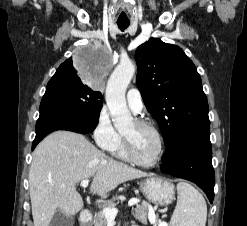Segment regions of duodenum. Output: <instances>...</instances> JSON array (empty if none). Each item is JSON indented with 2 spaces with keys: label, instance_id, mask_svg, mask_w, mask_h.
Segmentation results:
<instances>
[{
  "label": "duodenum",
  "instance_id": "1",
  "mask_svg": "<svg viewBox=\"0 0 247 226\" xmlns=\"http://www.w3.org/2000/svg\"><path fill=\"white\" fill-rule=\"evenodd\" d=\"M90 219H91V214L88 211L84 210L81 212L82 226H87Z\"/></svg>",
  "mask_w": 247,
  "mask_h": 226
}]
</instances>
